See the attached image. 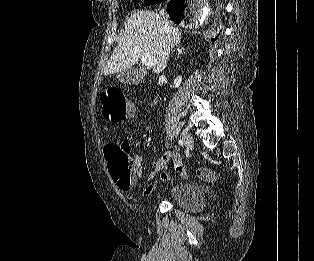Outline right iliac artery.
<instances>
[{"mask_svg":"<svg viewBox=\"0 0 314 261\" xmlns=\"http://www.w3.org/2000/svg\"><path fill=\"white\" fill-rule=\"evenodd\" d=\"M178 143H179V145H181V146H183V144H184L183 140H181V139L178 141Z\"/></svg>","mask_w":314,"mask_h":261,"instance_id":"right-iliac-artery-1","label":"right iliac artery"}]
</instances>
